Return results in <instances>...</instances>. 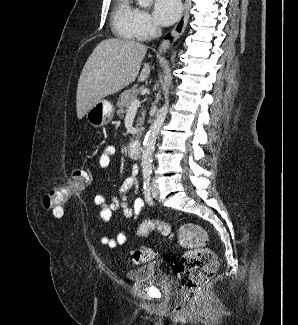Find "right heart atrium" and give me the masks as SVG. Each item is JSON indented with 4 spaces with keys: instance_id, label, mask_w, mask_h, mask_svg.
I'll use <instances>...</instances> for the list:
<instances>
[{
    "instance_id": "d8ad5b80",
    "label": "right heart atrium",
    "mask_w": 298,
    "mask_h": 325,
    "mask_svg": "<svg viewBox=\"0 0 298 325\" xmlns=\"http://www.w3.org/2000/svg\"><path fill=\"white\" fill-rule=\"evenodd\" d=\"M136 24L130 30L132 41H153L157 26L146 9L137 10Z\"/></svg>"
}]
</instances>
